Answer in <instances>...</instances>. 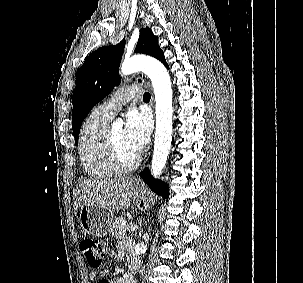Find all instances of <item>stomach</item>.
Segmentation results:
<instances>
[{"instance_id":"0dacf381","label":"stomach","mask_w":303,"mask_h":283,"mask_svg":"<svg viewBox=\"0 0 303 283\" xmlns=\"http://www.w3.org/2000/svg\"><path fill=\"white\" fill-rule=\"evenodd\" d=\"M132 195L140 197L139 208L143 209L149 205L150 198L145 196L139 188H133ZM113 218L112 211L101 207L84 205L79 210V222L82 230L96 237L106 236L109 233Z\"/></svg>"}]
</instances>
